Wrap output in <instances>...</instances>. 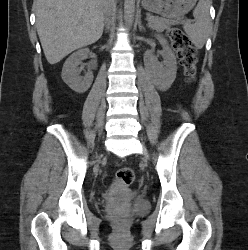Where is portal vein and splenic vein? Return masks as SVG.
I'll list each match as a JSON object with an SVG mask.
<instances>
[{
	"label": "portal vein and splenic vein",
	"mask_w": 248,
	"mask_h": 250,
	"mask_svg": "<svg viewBox=\"0 0 248 250\" xmlns=\"http://www.w3.org/2000/svg\"><path fill=\"white\" fill-rule=\"evenodd\" d=\"M154 18H155V17H153V16H148V17H147V20H148V21H152V20H154ZM191 22H192V20H186V21H184V23H186V24H190Z\"/></svg>",
	"instance_id": "1"
}]
</instances>
